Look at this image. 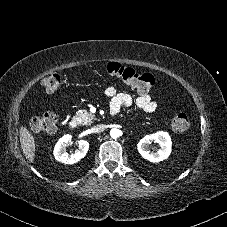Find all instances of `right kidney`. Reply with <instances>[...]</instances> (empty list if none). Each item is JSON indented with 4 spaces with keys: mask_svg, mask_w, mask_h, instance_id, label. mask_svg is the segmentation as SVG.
I'll list each match as a JSON object with an SVG mask.
<instances>
[{
    "mask_svg": "<svg viewBox=\"0 0 227 227\" xmlns=\"http://www.w3.org/2000/svg\"><path fill=\"white\" fill-rule=\"evenodd\" d=\"M72 140V136L67 134L58 140L54 148V157L57 161L64 164H74L80 161L89 149V143L86 140L77 141L78 149L75 153L68 154L67 146Z\"/></svg>",
    "mask_w": 227,
    "mask_h": 227,
    "instance_id": "1",
    "label": "right kidney"
}]
</instances>
